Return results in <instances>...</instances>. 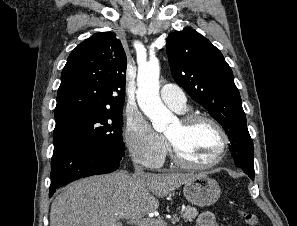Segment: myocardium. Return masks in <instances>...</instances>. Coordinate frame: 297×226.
<instances>
[{"instance_id": "myocardium-1", "label": "myocardium", "mask_w": 297, "mask_h": 226, "mask_svg": "<svg viewBox=\"0 0 297 226\" xmlns=\"http://www.w3.org/2000/svg\"><path fill=\"white\" fill-rule=\"evenodd\" d=\"M179 121L185 127H187L191 124L197 123V122H201V121L210 123L220 133V135L222 137V145H221L220 151L218 153V156L214 160H212L206 164H198V163H194V162L187 160L182 155V153L179 151L176 144L166 136V139L168 141V145L170 148V154H171L172 161L177 166L185 168V169H191V170H206V169H211V168L217 166L218 164H220L223 161V159L226 156L228 147H229L230 139H229V135H228L227 131L215 118H213L209 115H206V114H187V115H183L179 119Z\"/></svg>"}]
</instances>
